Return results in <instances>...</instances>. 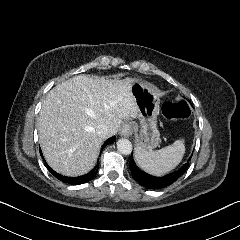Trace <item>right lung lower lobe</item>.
Here are the masks:
<instances>
[{
  "label": "right lung lower lobe",
  "mask_w": 240,
  "mask_h": 240,
  "mask_svg": "<svg viewBox=\"0 0 240 240\" xmlns=\"http://www.w3.org/2000/svg\"><path fill=\"white\" fill-rule=\"evenodd\" d=\"M115 140V137H111L109 138L105 144L102 146V149L107 146L108 144H111L113 141ZM102 151V150H101ZM40 153H41V156H42V152L40 150ZM44 159V158H43ZM45 161V160H44ZM47 165V164H46ZM47 168L49 169V171L52 173L53 176H55L57 179H59L60 181L64 182V183H67V184H74V185H77V184H83V183H86L90 180H92L95 175L97 174V171H98V168H99V163L87 174L85 175H82V176H79V177H66V176H63L57 172H55L52 168H50L48 165H47Z\"/></svg>",
  "instance_id": "1"
}]
</instances>
